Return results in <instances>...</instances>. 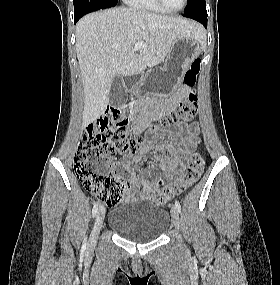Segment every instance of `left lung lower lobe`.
<instances>
[{"label":"left lung lower lobe","instance_id":"left-lung-lower-lobe-1","mask_svg":"<svg viewBox=\"0 0 280 285\" xmlns=\"http://www.w3.org/2000/svg\"><path fill=\"white\" fill-rule=\"evenodd\" d=\"M185 17L192 18L199 21L201 24L207 28V11L205 12H194L191 14H183Z\"/></svg>","mask_w":280,"mask_h":285}]
</instances>
